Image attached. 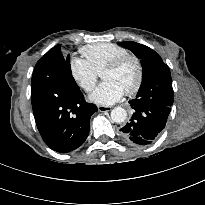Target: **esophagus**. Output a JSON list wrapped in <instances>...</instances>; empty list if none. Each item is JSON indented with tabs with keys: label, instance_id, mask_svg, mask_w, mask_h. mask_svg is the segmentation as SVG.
I'll list each match as a JSON object with an SVG mask.
<instances>
[{
	"label": "esophagus",
	"instance_id": "obj_1",
	"mask_svg": "<svg viewBox=\"0 0 205 205\" xmlns=\"http://www.w3.org/2000/svg\"><path fill=\"white\" fill-rule=\"evenodd\" d=\"M98 110H99L100 112H109V111L111 110V107H109V106H104V105H99V106H98Z\"/></svg>",
	"mask_w": 205,
	"mask_h": 205
}]
</instances>
